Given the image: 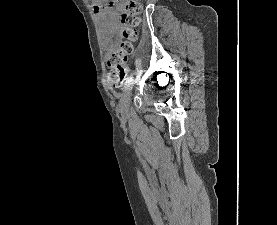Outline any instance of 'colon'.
Masks as SVG:
<instances>
[{"label": "colon", "instance_id": "colon-1", "mask_svg": "<svg viewBox=\"0 0 277 225\" xmlns=\"http://www.w3.org/2000/svg\"><path fill=\"white\" fill-rule=\"evenodd\" d=\"M139 0H125L124 9L120 20L123 25L122 40L119 47L110 55L108 64L110 79L113 83H121L128 75V60L134 50V42L137 39L139 25V13L141 12Z\"/></svg>", "mask_w": 277, "mask_h": 225}]
</instances>
